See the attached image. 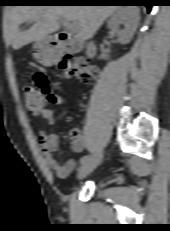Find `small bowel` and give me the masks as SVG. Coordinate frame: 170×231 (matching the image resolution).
<instances>
[{"instance_id":"obj_1","label":"small bowel","mask_w":170,"mask_h":231,"mask_svg":"<svg viewBox=\"0 0 170 231\" xmlns=\"http://www.w3.org/2000/svg\"><path fill=\"white\" fill-rule=\"evenodd\" d=\"M34 83L36 87L43 93L45 98L54 104H61L62 98L54 92V87L50 83L46 74L37 72L34 74ZM41 119L50 125L55 124V112L45 108L39 114ZM39 141L41 146V154L44 164L47 168L55 171L60 178L67 177L75 167V160L70 157L61 164L55 157L54 153L58 151L60 146V138L57 132L46 134L43 130L39 131ZM87 146V139L82 133L72 138V150L75 153L83 151Z\"/></svg>"}]
</instances>
